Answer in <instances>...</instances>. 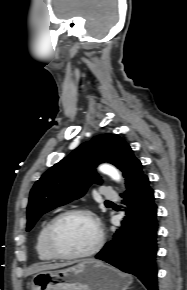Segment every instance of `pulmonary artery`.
<instances>
[{
  "mask_svg": "<svg viewBox=\"0 0 187 290\" xmlns=\"http://www.w3.org/2000/svg\"><path fill=\"white\" fill-rule=\"evenodd\" d=\"M102 197L106 200H117L118 194L111 188H104L102 190Z\"/></svg>",
  "mask_w": 187,
  "mask_h": 290,
  "instance_id": "1",
  "label": "pulmonary artery"
}]
</instances>
